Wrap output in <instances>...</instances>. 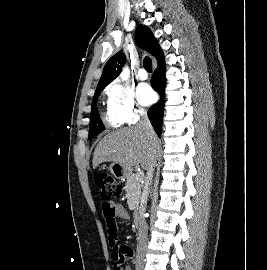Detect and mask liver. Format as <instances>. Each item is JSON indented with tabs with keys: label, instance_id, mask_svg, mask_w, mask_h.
Instances as JSON below:
<instances>
[{
	"label": "liver",
	"instance_id": "1",
	"mask_svg": "<svg viewBox=\"0 0 267 270\" xmlns=\"http://www.w3.org/2000/svg\"><path fill=\"white\" fill-rule=\"evenodd\" d=\"M159 139H152L139 126L128 127L106 135L97 145L93 155V168L103 162H115L131 169L141 165L148 169L154 151L159 154Z\"/></svg>",
	"mask_w": 267,
	"mask_h": 270
}]
</instances>
